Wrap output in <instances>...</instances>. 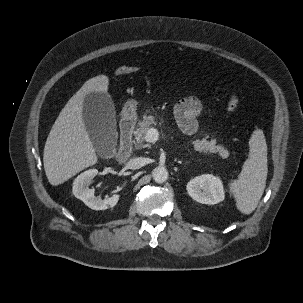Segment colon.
<instances>
[{"mask_svg": "<svg viewBox=\"0 0 303 303\" xmlns=\"http://www.w3.org/2000/svg\"><path fill=\"white\" fill-rule=\"evenodd\" d=\"M137 70L138 67L123 65L115 70L114 75L115 76L127 75ZM226 107L227 110L230 111L231 113H236L239 110V100L235 94L231 93L229 95Z\"/></svg>", "mask_w": 303, "mask_h": 303, "instance_id": "5ec220e1", "label": "colon"}]
</instances>
